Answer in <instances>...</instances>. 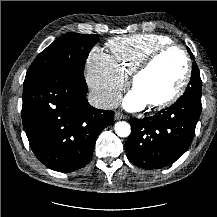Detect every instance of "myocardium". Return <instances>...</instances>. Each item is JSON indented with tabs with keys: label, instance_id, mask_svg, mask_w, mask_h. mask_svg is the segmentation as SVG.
Segmentation results:
<instances>
[{
	"label": "myocardium",
	"instance_id": "obj_1",
	"mask_svg": "<svg viewBox=\"0 0 217 217\" xmlns=\"http://www.w3.org/2000/svg\"><path fill=\"white\" fill-rule=\"evenodd\" d=\"M170 51H178L184 58L185 61V73L182 78V81L179 85V87L175 90L174 93H172L170 96L158 100L155 102L147 103L151 108L155 109H162L167 106L172 105L176 101H178L186 92L191 76H192V62L190 59V56L188 52L180 45L177 44H167L164 46H161L157 49H155L152 53H150L132 72L131 78H130V85L131 88L134 89L135 84L139 77L145 73L151 65L163 54L170 52Z\"/></svg>",
	"mask_w": 217,
	"mask_h": 217
}]
</instances>
